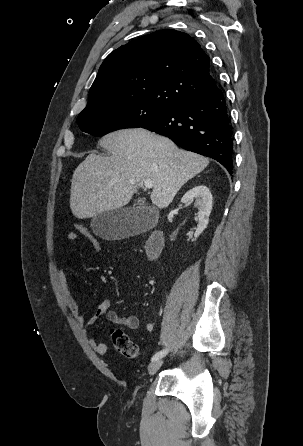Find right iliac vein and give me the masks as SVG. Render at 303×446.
<instances>
[{"label": "right iliac vein", "instance_id": "obj_1", "mask_svg": "<svg viewBox=\"0 0 303 446\" xmlns=\"http://www.w3.org/2000/svg\"><path fill=\"white\" fill-rule=\"evenodd\" d=\"M162 363H163V361L160 360V359L152 361L149 364V366H148V373L150 375H154L159 370V368L161 367Z\"/></svg>", "mask_w": 303, "mask_h": 446}]
</instances>
